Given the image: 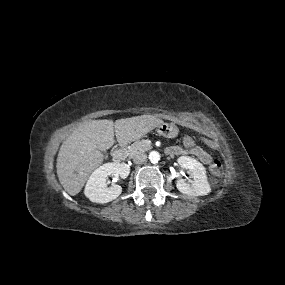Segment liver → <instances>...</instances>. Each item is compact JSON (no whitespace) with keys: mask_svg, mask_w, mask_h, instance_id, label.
<instances>
[{"mask_svg":"<svg viewBox=\"0 0 285 285\" xmlns=\"http://www.w3.org/2000/svg\"><path fill=\"white\" fill-rule=\"evenodd\" d=\"M163 121L153 115L112 120H91L76 128L63 142L57 156V176L71 196L83 188L89 175L103 162L101 151L110 149L115 140L126 145L133 142Z\"/></svg>","mask_w":285,"mask_h":285,"instance_id":"6515ba94","label":"liver"}]
</instances>
